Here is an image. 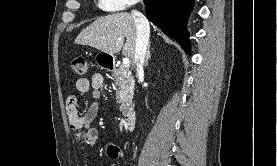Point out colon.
Returning <instances> with one entry per match:
<instances>
[{
    "label": "colon",
    "instance_id": "obj_1",
    "mask_svg": "<svg viewBox=\"0 0 277 166\" xmlns=\"http://www.w3.org/2000/svg\"><path fill=\"white\" fill-rule=\"evenodd\" d=\"M89 63L85 57H76L72 62L74 72L80 76L86 75L88 72Z\"/></svg>",
    "mask_w": 277,
    "mask_h": 166
}]
</instances>
